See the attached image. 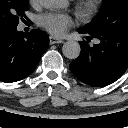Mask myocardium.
Instances as JSON below:
<instances>
[{
  "mask_svg": "<svg viewBox=\"0 0 128 128\" xmlns=\"http://www.w3.org/2000/svg\"><path fill=\"white\" fill-rule=\"evenodd\" d=\"M103 7V0H77L75 10L83 21L94 19Z\"/></svg>",
  "mask_w": 128,
  "mask_h": 128,
  "instance_id": "f54148a6",
  "label": "myocardium"
}]
</instances>
